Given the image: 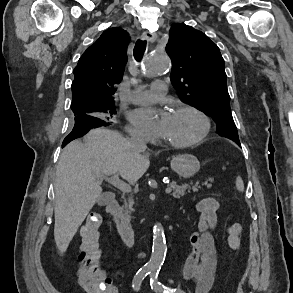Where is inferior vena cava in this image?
Masks as SVG:
<instances>
[{
    "label": "inferior vena cava",
    "mask_w": 293,
    "mask_h": 293,
    "mask_svg": "<svg viewBox=\"0 0 293 293\" xmlns=\"http://www.w3.org/2000/svg\"><path fill=\"white\" fill-rule=\"evenodd\" d=\"M129 141L135 149H146V143L141 134L133 133Z\"/></svg>",
    "instance_id": "602c4592"
}]
</instances>
